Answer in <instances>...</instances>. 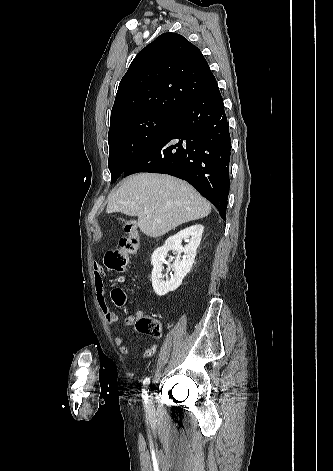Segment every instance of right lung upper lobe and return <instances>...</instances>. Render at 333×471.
<instances>
[{
	"instance_id": "right-lung-upper-lobe-1",
	"label": "right lung upper lobe",
	"mask_w": 333,
	"mask_h": 471,
	"mask_svg": "<svg viewBox=\"0 0 333 471\" xmlns=\"http://www.w3.org/2000/svg\"><path fill=\"white\" fill-rule=\"evenodd\" d=\"M216 83L201 51L164 33L142 49L120 81L110 123L139 112L176 113Z\"/></svg>"
}]
</instances>
